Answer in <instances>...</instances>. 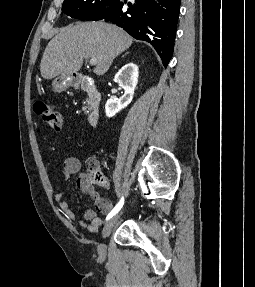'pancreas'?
Listing matches in <instances>:
<instances>
[{
	"label": "pancreas",
	"mask_w": 255,
	"mask_h": 287,
	"mask_svg": "<svg viewBox=\"0 0 255 287\" xmlns=\"http://www.w3.org/2000/svg\"><path fill=\"white\" fill-rule=\"evenodd\" d=\"M83 112H87L86 108H83Z\"/></svg>",
	"instance_id": "cf45deb5"
}]
</instances>
